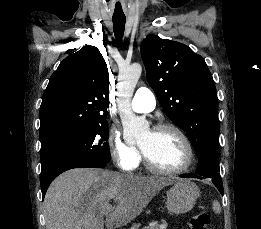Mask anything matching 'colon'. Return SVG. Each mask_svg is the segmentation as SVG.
I'll list each match as a JSON object with an SVG mask.
<instances>
[{"mask_svg": "<svg viewBox=\"0 0 261 229\" xmlns=\"http://www.w3.org/2000/svg\"><path fill=\"white\" fill-rule=\"evenodd\" d=\"M211 216L205 211H195L186 220L187 229H209Z\"/></svg>", "mask_w": 261, "mask_h": 229, "instance_id": "5ec220e1", "label": "colon"}]
</instances>
